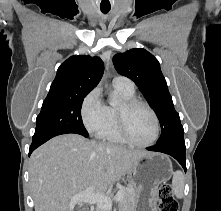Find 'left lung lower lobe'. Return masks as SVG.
<instances>
[{
  "label": "left lung lower lobe",
  "instance_id": "left-lung-lower-lobe-1",
  "mask_svg": "<svg viewBox=\"0 0 221 211\" xmlns=\"http://www.w3.org/2000/svg\"><path fill=\"white\" fill-rule=\"evenodd\" d=\"M147 150L165 153L174 157L181 164V166L186 172V147L184 139H177L162 144H156L155 146L147 148Z\"/></svg>",
  "mask_w": 221,
  "mask_h": 211
}]
</instances>
